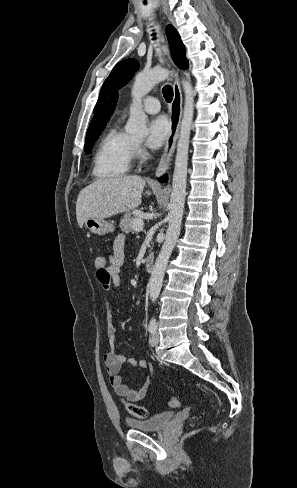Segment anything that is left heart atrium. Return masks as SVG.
I'll return each instance as SVG.
<instances>
[{"mask_svg":"<svg viewBox=\"0 0 297 488\" xmlns=\"http://www.w3.org/2000/svg\"><path fill=\"white\" fill-rule=\"evenodd\" d=\"M170 129V124L165 116L160 115L152 119L149 123L147 146L152 149L162 146L168 139Z\"/></svg>","mask_w":297,"mask_h":488,"instance_id":"left-heart-atrium-1","label":"left heart atrium"}]
</instances>
